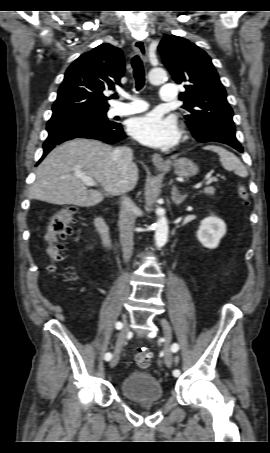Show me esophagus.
<instances>
[{"mask_svg": "<svg viewBox=\"0 0 270 453\" xmlns=\"http://www.w3.org/2000/svg\"><path fill=\"white\" fill-rule=\"evenodd\" d=\"M133 49L141 55V57L146 60L147 58V45L143 40H135L133 42ZM152 162L155 167L163 168L167 166V163L164 159L157 153L152 155Z\"/></svg>", "mask_w": 270, "mask_h": 453, "instance_id": "esophagus-1", "label": "esophagus"}]
</instances>
